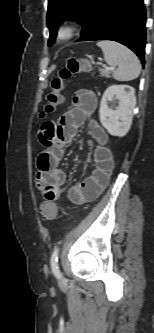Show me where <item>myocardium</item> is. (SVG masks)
<instances>
[{
    "instance_id": "obj_1",
    "label": "myocardium",
    "mask_w": 154,
    "mask_h": 333,
    "mask_svg": "<svg viewBox=\"0 0 154 333\" xmlns=\"http://www.w3.org/2000/svg\"><path fill=\"white\" fill-rule=\"evenodd\" d=\"M76 34V24L74 22H64L57 29V38L66 42L74 38Z\"/></svg>"
}]
</instances>
